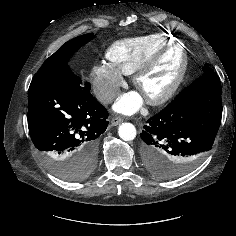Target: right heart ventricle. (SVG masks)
<instances>
[{
  "instance_id": "right-heart-ventricle-1",
  "label": "right heart ventricle",
  "mask_w": 236,
  "mask_h": 236,
  "mask_svg": "<svg viewBox=\"0 0 236 236\" xmlns=\"http://www.w3.org/2000/svg\"><path fill=\"white\" fill-rule=\"evenodd\" d=\"M174 42L167 34H150L112 44L106 51L109 64L124 75L133 74L153 53Z\"/></svg>"
}]
</instances>
